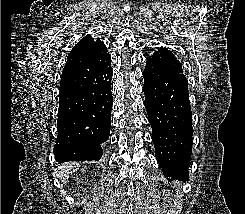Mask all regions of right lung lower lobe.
<instances>
[{
  "label": "right lung lower lobe",
  "mask_w": 245,
  "mask_h": 214,
  "mask_svg": "<svg viewBox=\"0 0 245 214\" xmlns=\"http://www.w3.org/2000/svg\"><path fill=\"white\" fill-rule=\"evenodd\" d=\"M76 61L67 59L61 76L58 136L53 149L59 163L99 160L101 144L109 138L111 127V57L86 87L79 84Z\"/></svg>",
  "instance_id": "right-lung-lower-lobe-1"
}]
</instances>
